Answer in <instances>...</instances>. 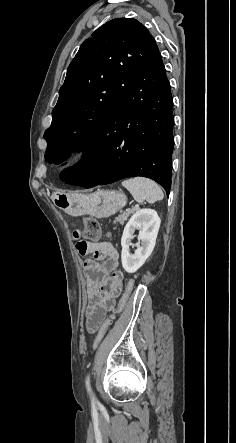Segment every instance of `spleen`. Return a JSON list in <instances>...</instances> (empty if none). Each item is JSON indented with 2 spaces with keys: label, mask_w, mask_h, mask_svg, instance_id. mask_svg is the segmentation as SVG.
Wrapping results in <instances>:
<instances>
[{
  "label": "spleen",
  "mask_w": 236,
  "mask_h": 443,
  "mask_svg": "<svg viewBox=\"0 0 236 443\" xmlns=\"http://www.w3.org/2000/svg\"><path fill=\"white\" fill-rule=\"evenodd\" d=\"M122 185L132 194L137 202L147 201L154 203L164 198V194L159 185L144 177H135L124 180Z\"/></svg>",
  "instance_id": "obj_1"
}]
</instances>
